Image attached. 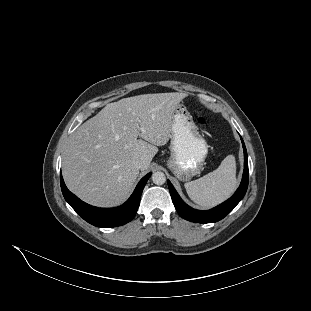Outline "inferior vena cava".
Returning a JSON list of instances; mask_svg holds the SVG:
<instances>
[{"mask_svg": "<svg viewBox=\"0 0 311 311\" xmlns=\"http://www.w3.org/2000/svg\"><path fill=\"white\" fill-rule=\"evenodd\" d=\"M133 165L140 169L143 166V161L141 159H136L133 161Z\"/></svg>", "mask_w": 311, "mask_h": 311, "instance_id": "1", "label": "inferior vena cava"}]
</instances>
